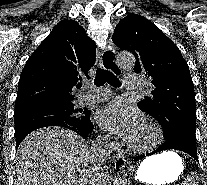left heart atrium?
I'll return each instance as SVG.
<instances>
[{"mask_svg":"<svg viewBox=\"0 0 207 185\" xmlns=\"http://www.w3.org/2000/svg\"><path fill=\"white\" fill-rule=\"evenodd\" d=\"M97 120L110 134L129 140L145 124L141 111L124 99L114 100L101 108Z\"/></svg>","mask_w":207,"mask_h":185,"instance_id":"left-heart-atrium-1","label":"left heart atrium"}]
</instances>
